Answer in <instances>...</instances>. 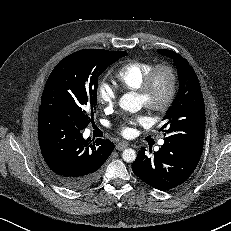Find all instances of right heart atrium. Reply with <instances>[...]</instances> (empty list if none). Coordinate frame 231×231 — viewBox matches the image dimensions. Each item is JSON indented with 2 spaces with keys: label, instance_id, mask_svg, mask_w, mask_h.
<instances>
[{
  "label": "right heart atrium",
  "instance_id": "right-heart-atrium-1",
  "mask_svg": "<svg viewBox=\"0 0 231 231\" xmlns=\"http://www.w3.org/2000/svg\"><path fill=\"white\" fill-rule=\"evenodd\" d=\"M96 99L99 104L111 108L116 103L117 94L112 85L103 81L97 85Z\"/></svg>",
  "mask_w": 231,
  "mask_h": 231
}]
</instances>
